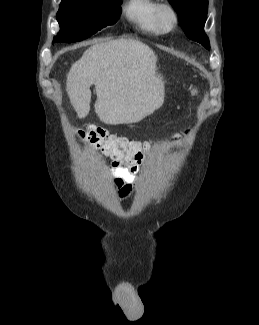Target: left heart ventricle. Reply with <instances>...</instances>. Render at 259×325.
I'll list each match as a JSON object with an SVG mask.
<instances>
[{"mask_svg": "<svg viewBox=\"0 0 259 325\" xmlns=\"http://www.w3.org/2000/svg\"><path fill=\"white\" fill-rule=\"evenodd\" d=\"M162 22L165 27H169L172 23V17L168 11H164L162 14Z\"/></svg>", "mask_w": 259, "mask_h": 325, "instance_id": "1", "label": "left heart ventricle"}]
</instances>
